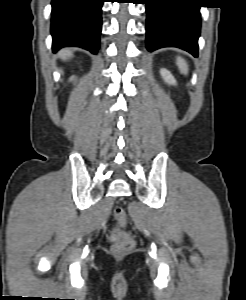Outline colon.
<instances>
[{"instance_id": "colon-1", "label": "colon", "mask_w": 246, "mask_h": 300, "mask_svg": "<svg viewBox=\"0 0 246 300\" xmlns=\"http://www.w3.org/2000/svg\"><path fill=\"white\" fill-rule=\"evenodd\" d=\"M113 217L116 223L119 225V227H123L126 225L127 218L125 211L122 207L117 206L114 208ZM110 241L112 242L114 250L118 253L125 252L133 246L132 236L127 231L121 228H115L111 231Z\"/></svg>"}]
</instances>
